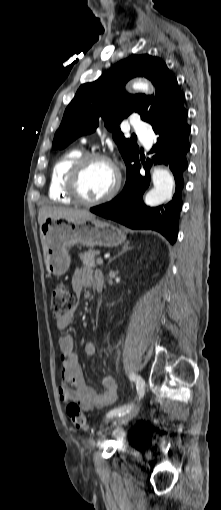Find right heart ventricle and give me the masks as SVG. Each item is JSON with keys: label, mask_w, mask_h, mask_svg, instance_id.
Returning <instances> with one entry per match:
<instances>
[{"label": "right heart ventricle", "mask_w": 221, "mask_h": 510, "mask_svg": "<svg viewBox=\"0 0 221 510\" xmlns=\"http://www.w3.org/2000/svg\"><path fill=\"white\" fill-rule=\"evenodd\" d=\"M83 154L79 147L72 148L64 152L54 163L50 176L49 197L50 199L62 202L72 203L73 199L66 191L65 183L67 174L73 163Z\"/></svg>", "instance_id": "obj_1"}]
</instances>
